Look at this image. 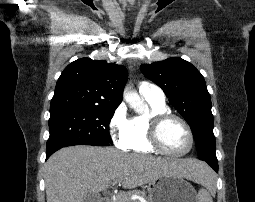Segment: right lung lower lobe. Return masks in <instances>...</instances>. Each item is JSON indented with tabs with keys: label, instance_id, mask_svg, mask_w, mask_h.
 <instances>
[{
	"label": "right lung lower lobe",
	"instance_id": "98d812e1",
	"mask_svg": "<svg viewBox=\"0 0 255 202\" xmlns=\"http://www.w3.org/2000/svg\"><path fill=\"white\" fill-rule=\"evenodd\" d=\"M55 151L54 150H52V151H47V153H46V159L51 155V154H53Z\"/></svg>",
	"mask_w": 255,
	"mask_h": 202
}]
</instances>
